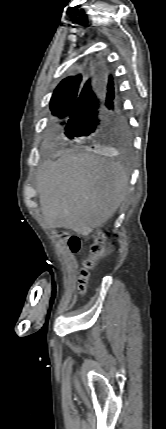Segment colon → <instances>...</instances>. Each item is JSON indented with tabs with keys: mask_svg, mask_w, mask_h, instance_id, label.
<instances>
[{
	"mask_svg": "<svg viewBox=\"0 0 166 429\" xmlns=\"http://www.w3.org/2000/svg\"><path fill=\"white\" fill-rule=\"evenodd\" d=\"M65 241L72 251H77L80 248V239L77 235H68ZM105 251V240L103 237H98L91 246L89 258L84 262V267L79 277V292L83 293L86 290L88 280V270L91 269L98 258H100Z\"/></svg>",
	"mask_w": 166,
	"mask_h": 429,
	"instance_id": "5ec220e1",
	"label": "colon"
}]
</instances>
